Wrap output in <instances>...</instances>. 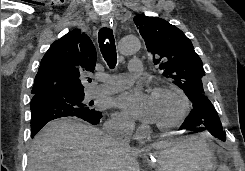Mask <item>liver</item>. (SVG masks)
<instances>
[{"mask_svg": "<svg viewBox=\"0 0 245 171\" xmlns=\"http://www.w3.org/2000/svg\"><path fill=\"white\" fill-rule=\"evenodd\" d=\"M171 144L165 140L149 148ZM142 151L118 146L111 136L93 126L58 119L35 137L27 171H140L136 157Z\"/></svg>", "mask_w": 245, "mask_h": 171, "instance_id": "obj_1", "label": "liver"}]
</instances>
